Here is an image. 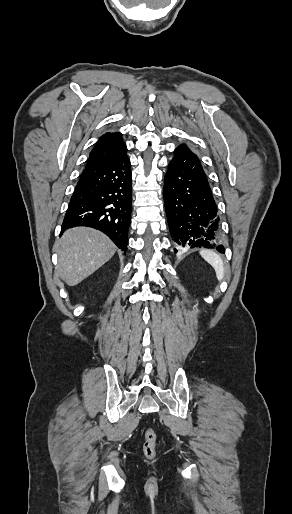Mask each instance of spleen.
<instances>
[{
  "label": "spleen",
  "instance_id": "3e777b00",
  "mask_svg": "<svg viewBox=\"0 0 292 514\" xmlns=\"http://www.w3.org/2000/svg\"><path fill=\"white\" fill-rule=\"evenodd\" d=\"M200 256H202V258H204V260H206L208 264H211V266H213L218 280H223L224 264L220 256H218V254H215V252H212V250H201Z\"/></svg>",
  "mask_w": 292,
  "mask_h": 514
}]
</instances>
